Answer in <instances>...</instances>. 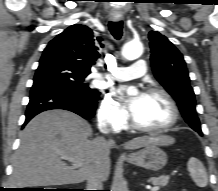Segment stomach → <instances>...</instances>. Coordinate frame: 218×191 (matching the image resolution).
Returning a JSON list of instances; mask_svg holds the SVG:
<instances>
[{
  "instance_id": "obj_1",
  "label": "stomach",
  "mask_w": 218,
  "mask_h": 191,
  "mask_svg": "<svg viewBox=\"0 0 218 191\" xmlns=\"http://www.w3.org/2000/svg\"><path fill=\"white\" fill-rule=\"evenodd\" d=\"M126 161L151 171H159L167 164V154L156 144L145 146L130 154Z\"/></svg>"
}]
</instances>
